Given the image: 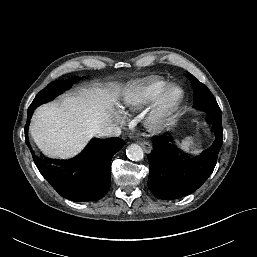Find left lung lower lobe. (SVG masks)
Segmentation results:
<instances>
[{
	"label": "left lung lower lobe",
	"instance_id": "obj_1",
	"mask_svg": "<svg viewBox=\"0 0 257 257\" xmlns=\"http://www.w3.org/2000/svg\"><path fill=\"white\" fill-rule=\"evenodd\" d=\"M209 114L215 139L193 159L180 155L166 133L154 140V149L147 158L150 164L148 187L155 197L171 200L187 196L213 172L223 143V129L221 112Z\"/></svg>",
	"mask_w": 257,
	"mask_h": 257
}]
</instances>
